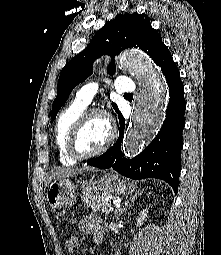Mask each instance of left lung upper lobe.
Instances as JSON below:
<instances>
[{
    "instance_id": "left-lung-upper-lobe-1",
    "label": "left lung upper lobe",
    "mask_w": 221,
    "mask_h": 255,
    "mask_svg": "<svg viewBox=\"0 0 221 255\" xmlns=\"http://www.w3.org/2000/svg\"><path fill=\"white\" fill-rule=\"evenodd\" d=\"M162 38L153 29L148 17L144 14H120L107 22L92 38L89 45L81 53L72 58L62 69L58 80L57 96L52 105V120L68 99L73 88L83 82L93 72V61L108 54L112 58L122 50L130 47L140 48L154 61L164 47ZM110 74L115 73L114 60L108 66ZM119 113L118 107L112 103Z\"/></svg>"
}]
</instances>
